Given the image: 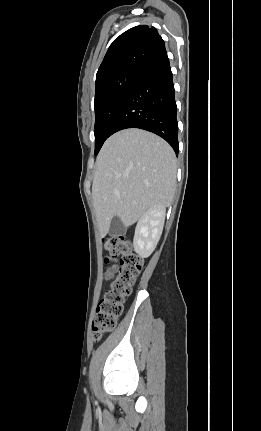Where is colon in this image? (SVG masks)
I'll use <instances>...</instances> for the list:
<instances>
[{
  "label": "colon",
  "mask_w": 261,
  "mask_h": 431,
  "mask_svg": "<svg viewBox=\"0 0 261 431\" xmlns=\"http://www.w3.org/2000/svg\"><path fill=\"white\" fill-rule=\"evenodd\" d=\"M104 248L108 254L105 260L118 258L115 276L101 300L92 321V333L100 339L116 325L123 311L125 298L130 295L142 267L143 259L135 253L131 241L124 236L107 238Z\"/></svg>",
  "instance_id": "1"
}]
</instances>
